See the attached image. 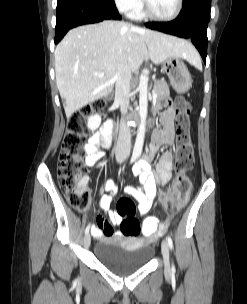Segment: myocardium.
<instances>
[{
  "instance_id": "1",
  "label": "myocardium",
  "mask_w": 247,
  "mask_h": 304,
  "mask_svg": "<svg viewBox=\"0 0 247 304\" xmlns=\"http://www.w3.org/2000/svg\"><path fill=\"white\" fill-rule=\"evenodd\" d=\"M182 8H183V0H177V6H176V9L174 10V12L169 15V16H166V17H160V16H157L155 15L149 5H148V2L147 0H143V13L146 17L152 19V20H155V21H160V22H170V21H173L175 20L181 13L182 11Z\"/></svg>"
}]
</instances>
